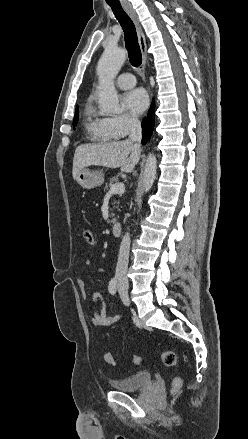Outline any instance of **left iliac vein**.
Masks as SVG:
<instances>
[{"mask_svg":"<svg viewBox=\"0 0 248 439\" xmlns=\"http://www.w3.org/2000/svg\"><path fill=\"white\" fill-rule=\"evenodd\" d=\"M121 299L125 305H129V298L121 293Z\"/></svg>","mask_w":248,"mask_h":439,"instance_id":"1","label":"left iliac vein"}]
</instances>
